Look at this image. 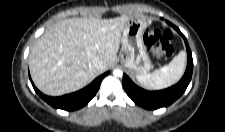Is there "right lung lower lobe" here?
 Listing matches in <instances>:
<instances>
[{
  "mask_svg": "<svg viewBox=\"0 0 225 132\" xmlns=\"http://www.w3.org/2000/svg\"><path fill=\"white\" fill-rule=\"evenodd\" d=\"M108 73L109 72H106L101 76L97 77L90 85L83 88L82 90L61 97H49L42 94L34 86L33 82L31 81V78L30 81L36 93L48 104H50L54 108L73 111L85 106L95 96L100 87L101 81L106 75H108Z\"/></svg>",
  "mask_w": 225,
  "mask_h": 132,
  "instance_id": "right-lung-lower-lobe-1",
  "label": "right lung lower lobe"
}]
</instances>
